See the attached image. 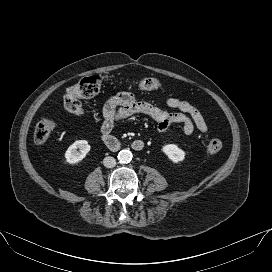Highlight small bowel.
Here are the masks:
<instances>
[{
  "label": "small bowel",
  "instance_id": "obj_1",
  "mask_svg": "<svg viewBox=\"0 0 272 272\" xmlns=\"http://www.w3.org/2000/svg\"><path fill=\"white\" fill-rule=\"evenodd\" d=\"M167 108L157 107L149 102L140 100L129 92H121L111 97L103 107L102 134H110L116 123L126 120L136 114L151 117L157 124V131L164 133L173 123L182 125L183 133L191 135L195 129L201 133L208 130L201 112L191 103L177 98H168Z\"/></svg>",
  "mask_w": 272,
  "mask_h": 272
}]
</instances>
